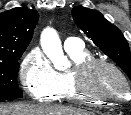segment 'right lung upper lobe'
I'll list each match as a JSON object with an SVG mask.
<instances>
[{
  "instance_id": "cb5924a9",
  "label": "right lung upper lobe",
  "mask_w": 131,
  "mask_h": 115,
  "mask_svg": "<svg viewBox=\"0 0 131 115\" xmlns=\"http://www.w3.org/2000/svg\"><path fill=\"white\" fill-rule=\"evenodd\" d=\"M38 19L36 10L26 8L0 13V60L27 48Z\"/></svg>"
}]
</instances>
